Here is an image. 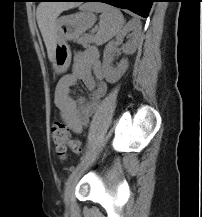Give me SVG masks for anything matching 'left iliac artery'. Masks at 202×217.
Returning a JSON list of instances; mask_svg holds the SVG:
<instances>
[{
    "instance_id": "obj_1",
    "label": "left iliac artery",
    "mask_w": 202,
    "mask_h": 217,
    "mask_svg": "<svg viewBox=\"0 0 202 217\" xmlns=\"http://www.w3.org/2000/svg\"><path fill=\"white\" fill-rule=\"evenodd\" d=\"M80 166H81V164L78 165L76 168H74L72 170V172H71V174H70V176H69V178H68V180L66 182V186L73 180V178L75 177V175H76L77 171L79 170Z\"/></svg>"
}]
</instances>
